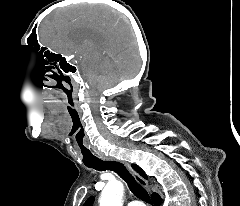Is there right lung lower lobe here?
I'll return each instance as SVG.
<instances>
[{
	"mask_svg": "<svg viewBox=\"0 0 240 206\" xmlns=\"http://www.w3.org/2000/svg\"><path fill=\"white\" fill-rule=\"evenodd\" d=\"M161 200H162L161 197L157 193L152 194V201L155 206H159L161 203Z\"/></svg>",
	"mask_w": 240,
	"mask_h": 206,
	"instance_id": "obj_1",
	"label": "right lung lower lobe"
}]
</instances>
